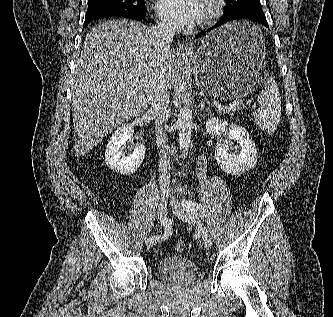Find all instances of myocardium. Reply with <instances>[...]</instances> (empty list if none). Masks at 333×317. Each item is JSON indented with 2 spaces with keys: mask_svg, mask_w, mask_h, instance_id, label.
I'll return each mask as SVG.
<instances>
[{
  "mask_svg": "<svg viewBox=\"0 0 333 317\" xmlns=\"http://www.w3.org/2000/svg\"><path fill=\"white\" fill-rule=\"evenodd\" d=\"M204 13L200 26L206 27L213 23L222 13L224 3L222 0H204Z\"/></svg>",
  "mask_w": 333,
  "mask_h": 317,
  "instance_id": "myocardium-1",
  "label": "myocardium"
}]
</instances>
